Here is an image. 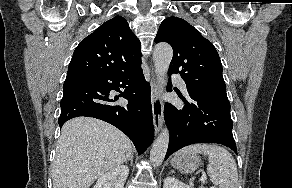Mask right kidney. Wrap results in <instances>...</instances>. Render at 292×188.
I'll list each match as a JSON object with an SVG mask.
<instances>
[{
	"instance_id": "obj_1",
	"label": "right kidney",
	"mask_w": 292,
	"mask_h": 188,
	"mask_svg": "<svg viewBox=\"0 0 292 188\" xmlns=\"http://www.w3.org/2000/svg\"><path fill=\"white\" fill-rule=\"evenodd\" d=\"M128 174L129 168L121 165L99 177L93 188H124Z\"/></svg>"
}]
</instances>
